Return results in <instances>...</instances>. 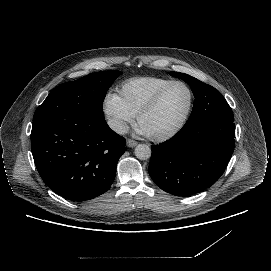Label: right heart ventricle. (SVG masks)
Returning <instances> with one entry per match:
<instances>
[{"instance_id":"e07e8e85","label":"right heart ventricle","mask_w":271,"mask_h":271,"mask_svg":"<svg viewBox=\"0 0 271 271\" xmlns=\"http://www.w3.org/2000/svg\"><path fill=\"white\" fill-rule=\"evenodd\" d=\"M172 78L163 76H145L125 80L119 88V96L124 106L133 116H138L141 110Z\"/></svg>"}]
</instances>
